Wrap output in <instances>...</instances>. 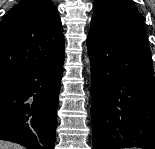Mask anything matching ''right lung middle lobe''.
Returning <instances> with one entry per match:
<instances>
[{
    "label": "right lung middle lobe",
    "mask_w": 155,
    "mask_h": 149,
    "mask_svg": "<svg viewBox=\"0 0 155 149\" xmlns=\"http://www.w3.org/2000/svg\"><path fill=\"white\" fill-rule=\"evenodd\" d=\"M17 76L16 73H0V85L15 81Z\"/></svg>",
    "instance_id": "dd1d6c3e"
}]
</instances>
